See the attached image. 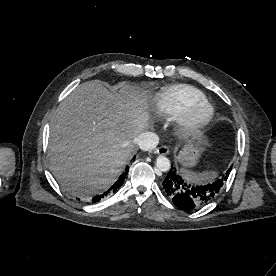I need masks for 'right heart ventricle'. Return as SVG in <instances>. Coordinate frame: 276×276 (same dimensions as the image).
<instances>
[{
    "mask_svg": "<svg viewBox=\"0 0 276 276\" xmlns=\"http://www.w3.org/2000/svg\"><path fill=\"white\" fill-rule=\"evenodd\" d=\"M204 101L206 97L200 90L189 85H174L158 95L155 106L159 114L176 121L180 120L191 106Z\"/></svg>",
    "mask_w": 276,
    "mask_h": 276,
    "instance_id": "1",
    "label": "right heart ventricle"
}]
</instances>
